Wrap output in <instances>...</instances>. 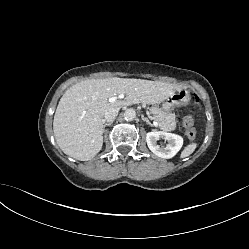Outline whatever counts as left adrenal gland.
<instances>
[{
	"label": "left adrenal gland",
	"instance_id": "1",
	"mask_svg": "<svg viewBox=\"0 0 249 249\" xmlns=\"http://www.w3.org/2000/svg\"><path fill=\"white\" fill-rule=\"evenodd\" d=\"M142 120L145 121L148 125L153 126L152 123L149 121L148 118H146V117L143 116Z\"/></svg>",
	"mask_w": 249,
	"mask_h": 249
}]
</instances>
